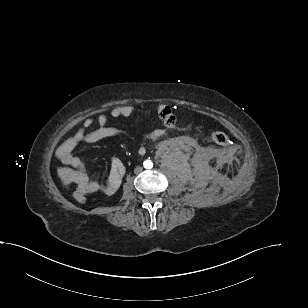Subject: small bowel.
Returning a JSON list of instances; mask_svg holds the SVG:
<instances>
[{
	"mask_svg": "<svg viewBox=\"0 0 308 308\" xmlns=\"http://www.w3.org/2000/svg\"><path fill=\"white\" fill-rule=\"evenodd\" d=\"M164 105L157 106L160 112L165 109ZM135 113V108L131 105L119 106L111 110L110 116L113 118L129 117ZM95 124L97 128L89 131ZM163 133L162 130H155L147 135V139L155 140ZM121 131L117 128L108 126V116L100 114L96 120L86 119L83 128L78 130L72 137L65 140L56 151L59 160L71 167V181L77 185L78 189L83 190L87 194L103 192L106 195H113L119 188L122 178L125 174V167L119 159H114L107 182L103 185L97 180L89 177L85 164L78 156L73 154L74 149L81 143H97L104 139L117 137Z\"/></svg>",
	"mask_w": 308,
	"mask_h": 308,
	"instance_id": "obj_1",
	"label": "small bowel"
}]
</instances>
